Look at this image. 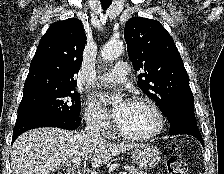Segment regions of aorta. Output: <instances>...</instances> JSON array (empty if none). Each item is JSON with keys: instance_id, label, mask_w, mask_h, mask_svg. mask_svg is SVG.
Wrapping results in <instances>:
<instances>
[{"instance_id": "aorta-1", "label": "aorta", "mask_w": 224, "mask_h": 174, "mask_svg": "<svg viewBox=\"0 0 224 174\" xmlns=\"http://www.w3.org/2000/svg\"><path fill=\"white\" fill-rule=\"evenodd\" d=\"M124 51V46L123 43L121 41H109L107 42L102 50H101V55L105 60H113L117 57H119ZM121 98L116 97L115 98V102L120 101Z\"/></svg>"}]
</instances>
